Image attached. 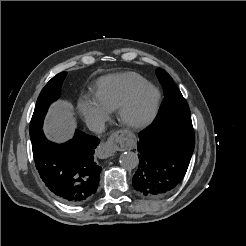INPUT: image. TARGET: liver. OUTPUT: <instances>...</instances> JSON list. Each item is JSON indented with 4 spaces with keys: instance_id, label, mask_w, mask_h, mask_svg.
Here are the masks:
<instances>
[{
    "instance_id": "liver-1",
    "label": "liver",
    "mask_w": 246,
    "mask_h": 246,
    "mask_svg": "<svg viewBox=\"0 0 246 246\" xmlns=\"http://www.w3.org/2000/svg\"><path fill=\"white\" fill-rule=\"evenodd\" d=\"M75 126V118L71 113V105L59 101L50 108L44 131L54 141H64L71 137Z\"/></svg>"
}]
</instances>
